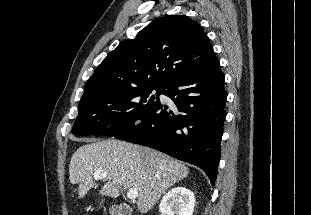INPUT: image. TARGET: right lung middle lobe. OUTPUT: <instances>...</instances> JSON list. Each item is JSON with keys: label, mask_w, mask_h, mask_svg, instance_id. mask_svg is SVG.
<instances>
[{"label": "right lung middle lobe", "mask_w": 311, "mask_h": 215, "mask_svg": "<svg viewBox=\"0 0 311 215\" xmlns=\"http://www.w3.org/2000/svg\"><path fill=\"white\" fill-rule=\"evenodd\" d=\"M162 91L161 87H140L82 99L72 133L115 136L127 132L160 105Z\"/></svg>", "instance_id": "1"}]
</instances>
